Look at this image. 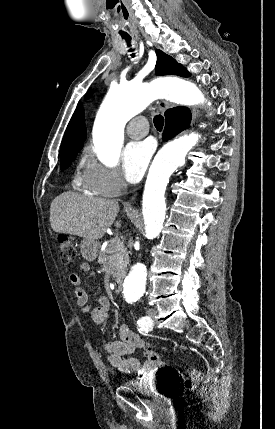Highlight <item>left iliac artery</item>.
<instances>
[{
	"label": "left iliac artery",
	"mask_w": 275,
	"mask_h": 429,
	"mask_svg": "<svg viewBox=\"0 0 275 429\" xmlns=\"http://www.w3.org/2000/svg\"><path fill=\"white\" fill-rule=\"evenodd\" d=\"M137 324L142 331H149L153 326L152 320L147 316L140 318Z\"/></svg>",
	"instance_id": "1"
}]
</instances>
